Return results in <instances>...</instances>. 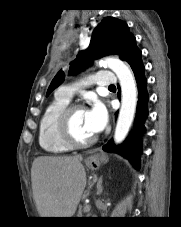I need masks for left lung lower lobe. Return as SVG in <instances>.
<instances>
[{"instance_id": "left-lung-lower-lobe-1", "label": "left lung lower lobe", "mask_w": 181, "mask_h": 227, "mask_svg": "<svg viewBox=\"0 0 181 227\" xmlns=\"http://www.w3.org/2000/svg\"><path fill=\"white\" fill-rule=\"evenodd\" d=\"M141 55V51L135 45L125 58V61L133 70L138 87L137 113L134 128L127 140L118 147L113 145L112 140L103 146V150L118 153L127 158L136 169L140 167L141 136L145 132L144 122L148 115L149 100L146 88L147 81L144 76L145 67L142 63Z\"/></svg>"}]
</instances>
